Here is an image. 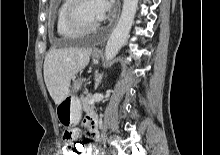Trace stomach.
Masks as SVG:
<instances>
[{"label":"stomach","instance_id":"0dacf381","mask_svg":"<svg viewBox=\"0 0 220 155\" xmlns=\"http://www.w3.org/2000/svg\"><path fill=\"white\" fill-rule=\"evenodd\" d=\"M94 58H98L97 54L93 55ZM81 83L74 86L75 90H78ZM82 115L81 102L77 96H75L70 90H68L65 98L57 105L56 116L62 126H76Z\"/></svg>","mask_w":220,"mask_h":155}]
</instances>
